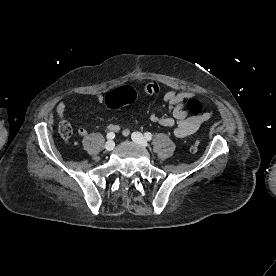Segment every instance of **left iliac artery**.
Returning a JSON list of instances; mask_svg holds the SVG:
<instances>
[{
	"instance_id": "obj_1",
	"label": "left iliac artery",
	"mask_w": 276,
	"mask_h": 276,
	"mask_svg": "<svg viewBox=\"0 0 276 276\" xmlns=\"http://www.w3.org/2000/svg\"><path fill=\"white\" fill-rule=\"evenodd\" d=\"M144 135H145V138H146L147 140H151V139H152V134H151V133L146 132Z\"/></svg>"
}]
</instances>
